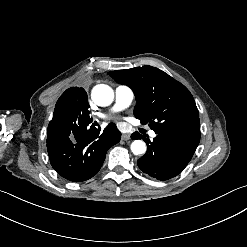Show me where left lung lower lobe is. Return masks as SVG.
<instances>
[{
	"label": "left lung lower lobe",
	"mask_w": 247,
	"mask_h": 247,
	"mask_svg": "<svg viewBox=\"0 0 247 247\" xmlns=\"http://www.w3.org/2000/svg\"><path fill=\"white\" fill-rule=\"evenodd\" d=\"M132 138L147 144L146 154L138 159L141 171L158 180H168L180 174L191 160L198 145L170 134H157L150 142L138 132Z\"/></svg>",
	"instance_id": "0a47b994"
}]
</instances>
